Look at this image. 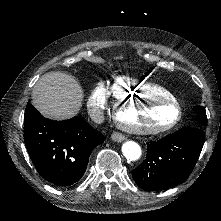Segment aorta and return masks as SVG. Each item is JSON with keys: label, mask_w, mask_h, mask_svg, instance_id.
Here are the masks:
<instances>
[{"label": "aorta", "mask_w": 221, "mask_h": 221, "mask_svg": "<svg viewBox=\"0 0 221 221\" xmlns=\"http://www.w3.org/2000/svg\"><path fill=\"white\" fill-rule=\"evenodd\" d=\"M122 153L127 160L136 161L141 157L142 151L138 143L126 141L122 145Z\"/></svg>", "instance_id": "obj_1"}]
</instances>
